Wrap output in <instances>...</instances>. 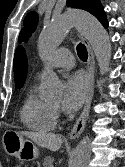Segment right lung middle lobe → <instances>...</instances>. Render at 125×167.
<instances>
[{
	"label": "right lung middle lobe",
	"instance_id": "obj_1",
	"mask_svg": "<svg viewBox=\"0 0 125 167\" xmlns=\"http://www.w3.org/2000/svg\"><path fill=\"white\" fill-rule=\"evenodd\" d=\"M20 88H21L20 86H19V87H18V86L16 87V89H20Z\"/></svg>",
	"mask_w": 125,
	"mask_h": 167
}]
</instances>
